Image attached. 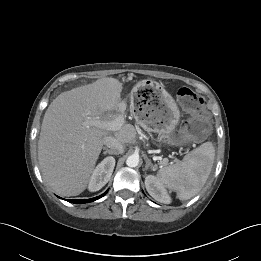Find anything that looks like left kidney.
<instances>
[{
  "label": "left kidney",
  "mask_w": 261,
  "mask_h": 261,
  "mask_svg": "<svg viewBox=\"0 0 261 261\" xmlns=\"http://www.w3.org/2000/svg\"><path fill=\"white\" fill-rule=\"evenodd\" d=\"M145 187L147 192L158 202L169 204L171 198L162 183L154 175H148L145 178Z\"/></svg>",
  "instance_id": "1"
}]
</instances>
